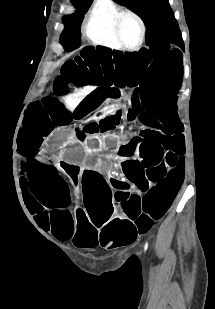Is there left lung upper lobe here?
Segmentation results:
<instances>
[{
    "mask_svg": "<svg viewBox=\"0 0 215 309\" xmlns=\"http://www.w3.org/2000/svg\"><path fill=\"white\" fill-rule=\"evenodd\" d=\"M135 10L146 26V45L183 46L181 32L168 0H119Z\"/></svg>",
    "mask_w": 215,
    "mask_h": 309,
    "instance_id": "1",
    "label": "left lung upper lobe"
}]
</instances>
